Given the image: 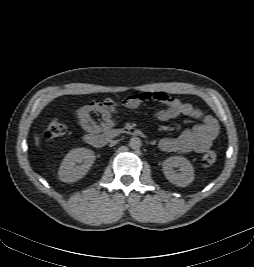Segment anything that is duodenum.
<instances>
[{"label": "duodenum", "mask_w": 254, "mask_h": 267, "mask_svg": "<svg viewBox=\"0 0 254 267\" xmlns=\"http://www.w3.org/2000/svg\"><path fill=\"white\" fill-rule=\"evenodd\" d=\"M127 134L132 136H142L143 133L141 130L134 128V127H126L122 130H108L101 134H87L85 136V141L96 148H101L107 144V142L114 138L115 136H118L119 134Z\"/></svg>", "instance_id": "obj_1"}]
</instances>
